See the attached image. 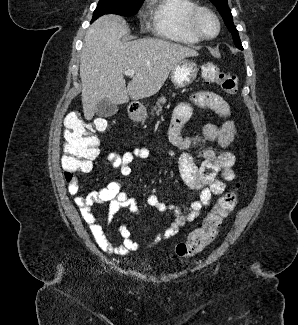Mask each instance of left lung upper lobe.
<instances>
[{"label": "left lung upper lobe", "mask_w": 298, "mask_h": 325, "mask_svg": "<svg viewBox=\"0 0 298 325\" xmlns=\"http://www.w3.org/2000/svg\"><path fill=\"white\" fill-rule=\"evenodd\" d=\"M210 1L216 6V8L220 12L225 22V25L227 26L228 30L232 33L235 45L240 48L241 45L240 38L238 35V31L233 24L231 10L228 7L227 0H210Z\"/></svg>", "instance_id": "obj_1"}]
</instances>
